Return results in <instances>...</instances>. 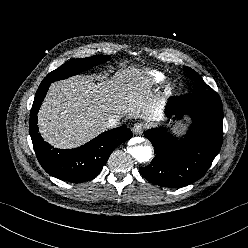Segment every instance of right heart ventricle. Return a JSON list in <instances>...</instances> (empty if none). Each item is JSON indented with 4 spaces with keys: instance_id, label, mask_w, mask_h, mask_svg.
<instances>
[{
    "instance_id": "e07e8e85",
    "label": "right heart ventricle",
    "mask_w": 248,
    "mask_h": 248,
    "mask_svg": "<svg viewBox=\"0 0 248 248\" xmlns=\"http://www.w3.org/2000/svg\"><path fill=\"white\" fill-rule=\"evenodd\" d=\"M162 79L161 76H157V80L160 81Z\"/></svg>"
}]
</instances>
